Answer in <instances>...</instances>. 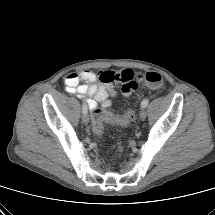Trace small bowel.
<instances>
[{
  "instance_id": "small-bowel-1",
  "label": "small bowel",
  "mask_w": 215,
  "mask_h": 215,
  "mask_svg": "<svg viewBox=\"0 0 215 215\" xmlns=\"http://www.w3.org/2000/svg\"><path fill=\"white\" fill-rule=\"evenodd\" d=\"M134 78L135 73L132 69L102 71L98 74L84 70L65 76L64 84L69 93L83 99L85 104L94 111L99 105L104 108L111 105L110 96L116 94L118 86L123 96H129L137 86Z\"/></svg>"
}]
</instances>
